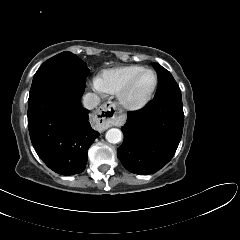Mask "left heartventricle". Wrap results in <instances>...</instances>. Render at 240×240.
Returning a JSON list of instances; mask_svg holds the SVG:
<instances>
[{"label": "left heart ventricle", "mask_w": 240, "mask_h": 240, "mask_svg": "<svg viewBox=\"0 0 240 240\" xmlns=\"http://www.w3.org/2000/svg\"><path fill=\"white\" fill-rule=\"evenodd\" d=\"M154 75L151 72L143 73L131 88L128 99L130 101H139L143 99L154 85Z\"/></svg>", "instance_id": "left-heart-ventricle-1"}]
</instances>
